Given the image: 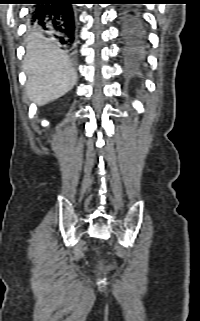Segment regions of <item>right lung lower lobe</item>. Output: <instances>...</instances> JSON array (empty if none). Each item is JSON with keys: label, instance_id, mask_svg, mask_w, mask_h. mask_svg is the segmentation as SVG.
<instances>
[{"label": "right lung lower lobe", "instance_id": "1", "mask_svg": "<svg viewBox=\"0 0 200 321\" xmlns=\"http://www.w3.org/2000/svg\"><path fill=\"white\" fill-rule=\"evenodd\" d=\"M77 0H30V26L50 31L62 44L74 48L75 15L72 4Z\"/></svg>", "mask_w": 200, "mask_h": 321}]
</instances>
